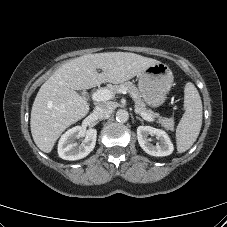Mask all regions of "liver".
Listing matches in <instances>:
<instances>
[{
  "label": "liver",
  "mask_w": 227,
  "mask_h": 227,
  "mask_svg": "<svg viewBox=\"0 0 227 227\" xmlns=\"http://www.w3.org/2000/svg\"><path fill=\"white\" fill-rule=\"evenodd\" d=\"M157 63L135 53L105 52L86 54L63 64L41 86L32 106L30 127L37 147L51 152L62 132L88 114L89 103L75 90L105 82L123 83Z\"/></svg>",
  "instance_id": "6515ba94"
}]
</instances>
